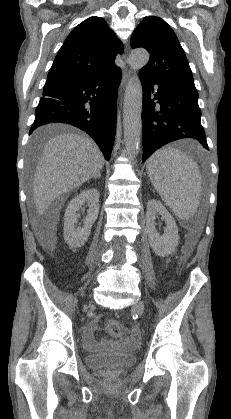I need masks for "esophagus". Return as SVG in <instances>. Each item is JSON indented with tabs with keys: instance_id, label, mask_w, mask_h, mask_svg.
I'll use <instances>...</instances> for the list:
<instances>
[{
	"instance_id": "1",
	"label": "esophagus",
	"mask_w": 231,
	"mask_h": 419,
	"mask_svg": "<svg viewBox=\"0 0 231 419\" xmlns=\"http://www.w3.org/2000/svg\"><path fill=\"white\" fill-rule=\"evenodd\" d=\"M130 74H131V71H128V72L125 73L124 78H123V81H122V88L126 85L128 79H129Z\"/></svg>"
}]
</instances>
